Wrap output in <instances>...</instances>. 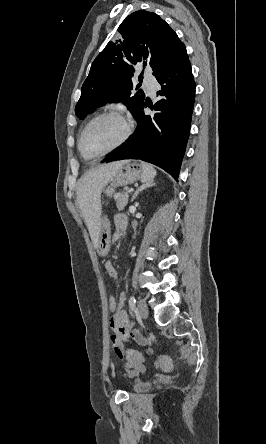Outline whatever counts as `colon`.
Listing matches in <instances>:
<instances>
[{
  "label": "colon",
  "instance_id": "5ec220e1",
  "mask_svg": "<svg viewBox=\"0 0 266 444\" xmlns=\"http://www.w3.org/2000/svg\"><path fill=\"white\" fill-rule=\"evenodd\" d=\"M107 308L113 314L116 312L117 303L113 296L107 298ZM126 358H128L131 368L141 367L145 361L144 356L134 350L127 352ZM155 365L162 370H170L173 367V360L168 356L159 357L155 360Z\"/></svg>",
  "mask_w": 266,
  "mask_h": 444
}]
</instances>
